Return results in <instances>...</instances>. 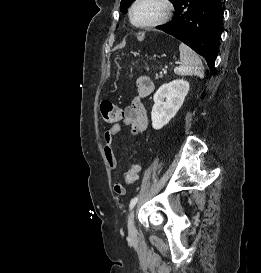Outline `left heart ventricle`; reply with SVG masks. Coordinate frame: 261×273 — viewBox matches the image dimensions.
<instances>
[{
    "label": "left heart ventricle",
    "mask_w": 261,
    "mask_h": 273,
    "mask_svg": "<svg viewBox=\"0 0 261 273\" xmlns=\"http://www.w3.org/2000/svg\"><path fill=\"white\" fill-rule=\"evenodd\" d=\"M161 12V5L155 0L140 3L134 11V20L138 24L147 23L155 19Z\"/></svg>",
    "instance_id": "obj_1"
}]
</instances>
